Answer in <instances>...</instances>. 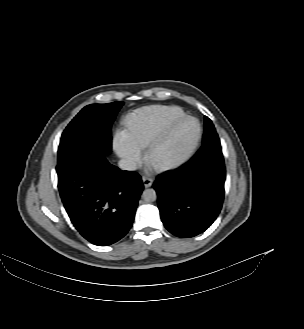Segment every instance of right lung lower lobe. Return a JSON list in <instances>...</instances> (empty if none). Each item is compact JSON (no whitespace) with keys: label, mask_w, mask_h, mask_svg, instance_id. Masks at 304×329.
Instances as JSON below:
<instances>
[{"label":"right lung lower lobe","mask_w":304,"mask_h":329,"mask_svg":"<svg viewBox=\"0 0 304 329\" xmlns=\"http://www.w3.org/2000/svg\"><path fill=\"white\" fill-rule=\"evenodd\" d=\"M64 207L80 234L98 246L120 240L132 226L141 177L111 165L101 154H83L57 165Z\"/></svg>","instance_id":"98d812e1"}]
</instances>
